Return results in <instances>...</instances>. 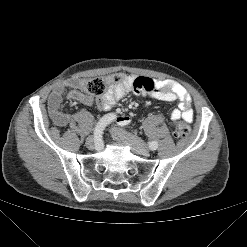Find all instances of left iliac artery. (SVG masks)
I'll return each mask as SVG.
<instances>
[{"mask_svg":"<svg viewBox=\"0 0 247 247\" xmlns=\"http://www.w3.org/2000/svg\"><path fill=\"white\" fill-rule=\"evenodd\" d=\"M149 148L151 150H156L158 148V143L156 141H152L149 143Z\"/></svg>","mask_w":247,"mask_h":247,"instance_id":"44dca946","label":"left iliac artery"}]
</instances>
